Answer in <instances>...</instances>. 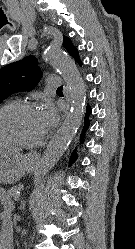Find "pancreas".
<instances>
[{
    "label": "pancreas",
    "instance_id": "pancreas-1",
    "mask_svg": "<svg viewBox=\"0 0 135 249\" xmlns=\"http://www.w3.org/2000/svg\"><path fill=\"white\" fill-rule=\"evenodd\" d=\"M18 191H19V187L17 186L12 187L6 192L7 198L9 199L10 197H15Z\"/></svg>",
    "mask_w": 135,
    "mask_h": 249
}]
</instances>
